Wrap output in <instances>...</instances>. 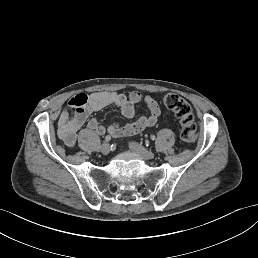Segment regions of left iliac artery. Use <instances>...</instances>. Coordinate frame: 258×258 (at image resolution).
<instances>
[{"instance_id":"left-iliac-artery-1","label":"left iliac artery","mask_w":258,"mask_h":258,"mask_svg":"<svg viewBox=\"0 0 258 258\" xmlns=\"http://www.w3.org/2000/svg\"><path fill=\"white\" fill-rule=\"evenodd\" d=\"M150 138H151V140H153V141L156 139L155 135H151Z\"/></svg>"}]
</instances>
